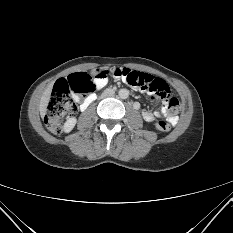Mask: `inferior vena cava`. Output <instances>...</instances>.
Wrapping results in <instances>:
<instances>
[{"instance_id":"602c4592","label":"inferior vena cava","mask_w":233,"mask_h":233,"mask_svg":"<svg viewBox=\"0 0 233 233\" xmlns=\"http://www.w3.org/2000/svg\"><path fill=\"white\" fill-rule=\"evenodd\" d=\"M114 93H115V92H114L113 89H111V88L108 89V90L106 89V90H104L103 93L101 94V97H102V98H105V97L107 98V97H109V96L111 97V96L114 95Z\"/></svg>"}]
</instances>
